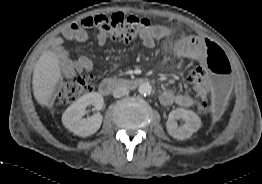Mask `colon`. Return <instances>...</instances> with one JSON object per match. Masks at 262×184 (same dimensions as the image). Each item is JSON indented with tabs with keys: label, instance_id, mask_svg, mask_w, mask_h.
<instances>
[{
	"label": "colon",
	"instance_id": "5ec220e1",
	"mask_svg": "<svg viewBox=\"0 0 262 184\" xmlns=\"http://www.w3.org/2000/svg\"><path fill=\"white\" fill-rule=\"evenodd\" d=\"M82 27H95L106 38L115 41H131L150 29V21L146 18L114 13L96 15L81 20ZM205 71L194 70L189 80L195 96L203 108L211 107L215 118L223 115L228 104L231 91L230 61L217 44L206 41ZM210 73L209 78L205 73ZM93 84L85 75H80L64 83L57 95L62 104L74 102L82 95L90 92Z\"/></svg>",
	"mask_w": 262,
	"mask_h": 184
}]
</instances>
